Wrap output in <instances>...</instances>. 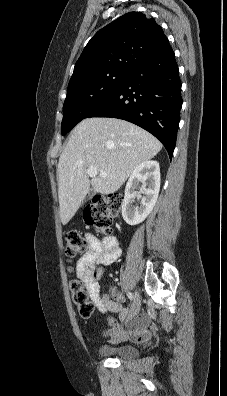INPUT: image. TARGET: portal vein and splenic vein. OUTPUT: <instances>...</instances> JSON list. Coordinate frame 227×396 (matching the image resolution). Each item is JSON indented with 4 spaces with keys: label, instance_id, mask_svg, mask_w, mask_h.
<instances>
[{
    "label": "portal vein and splenic vein",
    "instance_id": "1",
    "mask_svg": "<svg viewBox=\"0 0 227 396\" xmlns=\"http://www.w3.org/2000/svg\"><path fill=\"white\" fill-rule=\"evenodd\" d=\"M87 172H88V175L90 176V177H95V176H97V174H99L101 177H106L107 176V173L106 172H104V171H99L98 172V170L95 168V167H93V166H90L89 168H88V170H87Z\"/></svg>",
    "mask_w": 227,
    "mask_h": 396
}]
</instances>
